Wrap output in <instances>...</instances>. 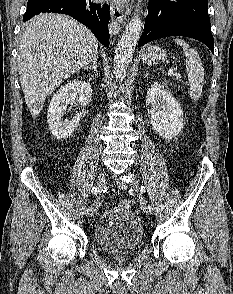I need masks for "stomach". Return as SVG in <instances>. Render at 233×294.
I'll return each instance as SVG.
<instances>
[{"label":"stomach","mask_w":233,"mask_h":294,"mask_svg":"<svg viewBox=\"0 0 233 294\" xmlns=\"http://www.w3.org/2000/svg\"><path fill=\"white\" fill-rule=\"evenodd\" d=\"M166 59V51L157 44H148L142 50V60L144 63L157 64L165 62Z\"/></svg>","instance_id":"obj_1"}]
</instances>
